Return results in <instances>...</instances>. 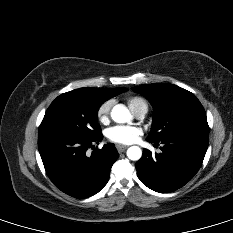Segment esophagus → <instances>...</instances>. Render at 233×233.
Listing matches in <instances>:
<instances>
[{
  "label": "esophagus",
  "instance_id": "34e87169",
  "mask_svg": "<svg viewBox=\"0 0 233 233\" xmlns=\"http://www.w3.org/2000/svg\"><path fill=\"white\" fill-rule=\"evenodd\" d=\"M117 150L118 152H123L127 149V146H124V145H117Z\"/></svg>",
  "mask_w": 233,
  "mask_h": 233
}]
</instances>
